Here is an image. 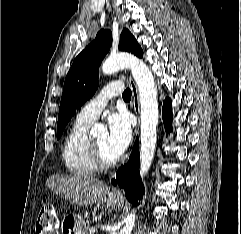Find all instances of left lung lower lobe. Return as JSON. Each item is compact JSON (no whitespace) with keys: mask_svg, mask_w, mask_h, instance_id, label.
<instances>
[{"mask_svg":"<svg viewBox=\"0 0 241 234\" xmlns=\"http://www.w3.org/2000/svg\"><path fill=\"white\" fill-rule=\"evenodd\" d=\"M162 116L166 132H170L172 108L169 98H166L164 101ZM139 161L138 139H136L128 163L118 170L116 179H112L111 181L113 185L118 184L125 190L127 199L134 205H138V199H142L144 193L143 184L139 176Z\"/></svg>","mask_w":241,"mask_h":234,"instance_id":"obj_1","label":"left lung lower lobe"}]
</instances>
